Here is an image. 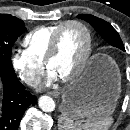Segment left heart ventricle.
Here are the masks:
<instances>
[{"label":"left heart ventricle","instance_id":"obj_1","mask_svg":"<svg viewBox=\"0 0 130 130\" xmlns=\"http://www.w3.org/2000/svg\"><path fill=\"white\" fill-rule=\"evenodd\" d=\"M86 44V34L79 26L66 27L60 37L58 52L49 63L48 69L54 72L58 78L68 76L79 65Z\"/></svg>","mask_w":130,"mask_h":130}]
</instances>
